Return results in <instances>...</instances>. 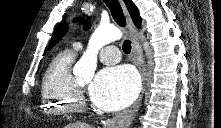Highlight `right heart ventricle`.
I'll return each mask as SVG.
<instances>
[{
	"mask_svg": "<svg viewBox=\"0 0 221 128\" xmlns=\"http://www.w3.org/2000/svg\"><path fill=\"white\" fill-rule=\"evenodd\" d=\"M77 49H65L53 57L41 84L40 113L46 117H62L72 112L73 91L77 79L72 65Z\"/></svg>",
	"mask_w": 221,
	"mask_h": 128,
	"instance_id": "1",
	"label": "right heart ventricle"
}]
</instances>
